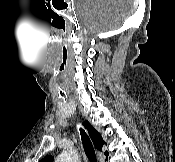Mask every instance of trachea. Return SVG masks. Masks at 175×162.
I'll return each mask as SVG.
<instances>
[{
  "label": "trachea",
  "mask_w": 175,
  "mask_h": 162,
  "mask_svg": "<svg viewBox=\"0 0 175 162\" xmlns=\"http://www.w3.org/2000/svg\"><path fill=\"white\" fill-rule=\"evenodd\" d=\"M80 134H81L83 148H84L85 154L88 157L89 161L97 162L96 152L93 147V144L91 140L89 139L88 135L86 134V132L82 128H80Z\"/></svg>",
  "instance_id": "trachea-1"
}]
</instances>
